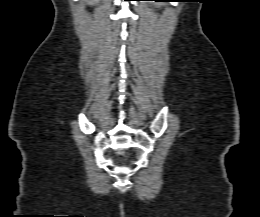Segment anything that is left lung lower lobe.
I'll return each instance as SVG.
<instances>
[{"label": "left lung lower lobe", "mask_w": 260, "mask_h": 217, "mask_svg": "<svg viewBox=\"0 0 260 217\" xmlns=\"http://www.w3.org/2000/svg\"><path fill=\"white\" fill-rule=\"evenodd\" d=\"M154 1H168V0H154Z\"/></svg>", "instance_id": "0a47b994"}]
</instances>
